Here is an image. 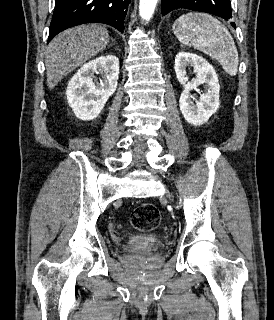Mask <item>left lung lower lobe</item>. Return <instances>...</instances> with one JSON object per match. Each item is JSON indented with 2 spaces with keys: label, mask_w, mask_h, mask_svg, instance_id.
Returning a JSON list of instances; mask_svg holds the SVG:
<instances>
[{
  "label": "left lung lower lobe",
  "mask_w": 274,
  "mask_h": 320,
  "mask_svg": "<svg viewBox=\"0 0 274 320\" xmlns=\"http://www.w3.org/2000/svg\"><path fill=\"white\" fill-rule=\"evenodd\" d=\"M161 8L164 15L172 10L185 8L210 13L225 20L232 18L230 0H162ZM231 25L235 27L234 23Z\"/></svg>",
  "instance_id": "obj_1"
}]
</instances>
